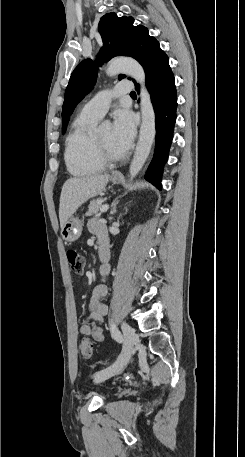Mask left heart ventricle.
I'll return each instance as SVG.
<instances>
[{"instance_id":"obj_1","label":"left heart ventricle","mask_w":245,"mask_h":457,"mask_svg":"<svg viewBox=\"0 0 245 457\" xmlns=\"http://www.w3.org/2000/svg\"><path fill=\"white\" fill-rule=\"evenodd\" d=\"M111 129L94 132L96 135L97 144L99 149L104 154L120 155L124 153V150L114 144L111 135Z\"/></svg>"}]
</instances>
